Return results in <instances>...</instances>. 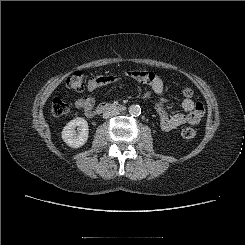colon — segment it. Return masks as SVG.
Wrapping results in <instances>:
<instances>
[{"label": "colon", "mask_w": 245, "mask_h": 245, "mask_svg": "<svg viewBox=\"0 0 245 245\" xmlns=\"http://www.w3.org/2000/svg\"><path fill=\"white\" fill-rule=\"evenodd\" d=\"M99 80L97 82H99ZM66 84L67 87L72 90L82 91L84 89L83 75L80 72L73 73L70 77H68ZM182 94L184 97H192L193 90L190 87H185L182 90ZM68 111H69V106L64 100L60 98H56L53 100L51 105V112L54 116L61 117L67 114ZM195 135H196V131L194 128L187 127L182 130V136L186 139L194 138Z\"/></svg>", "instance_id": "obj_1"}]
</instances>
